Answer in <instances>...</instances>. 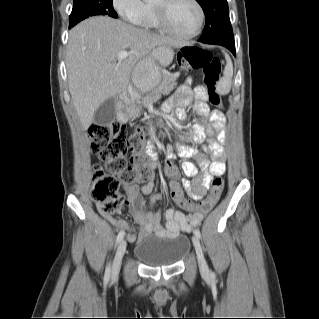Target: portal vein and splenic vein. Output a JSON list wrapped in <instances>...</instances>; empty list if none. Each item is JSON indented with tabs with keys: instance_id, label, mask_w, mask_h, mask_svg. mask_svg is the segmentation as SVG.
<instances>
[{
	"instance_id": "obj_1",
	"label": "portal vein and splenic vein",
	"mask_w": 319,
	"mask_h": 319,
	"mask_svg": "<svg viewBox=\"0 0 319 319\" xmlns=\"http://www.w3.org/2000/svg\"><path fill=\"white\" fill-rule=\"evenodd\" d=\"M129 55H130V52L121 51L118 53L117 60L122 61V60L126 59Z\"/></svg>"
}]
</instances>
